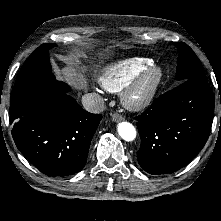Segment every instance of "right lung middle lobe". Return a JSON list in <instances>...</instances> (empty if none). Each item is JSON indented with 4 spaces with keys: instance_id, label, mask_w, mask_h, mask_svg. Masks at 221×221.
Wrapping results in <instances>:
<instances>
[{
    "instance_id": "dd1d6c3e",
    "label": "right lung middle lobe",
    "mask_w": 221,
    "mask_h": 221,
    "mask_svg": "<svg viewBox=\"0 0 221 221\" xmlns=\"http://www.w3.org/2000/svg\"><path fill=\"white\" fill-rule=\"evenodd\" d=\"M55 44L40 45L25 61L17 76L12 93L37 81L55 78L51 72L49 49Z\"/></svg>"
}]
</instances>
